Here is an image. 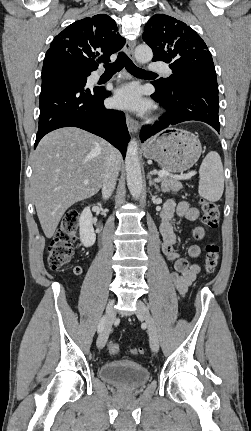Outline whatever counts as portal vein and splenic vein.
<instances>
[{"instance_id":"portal-vein-and-splenic-vein-1","label":"portal vein and splenic vein","mask_w":251,"mask_h":431,"mask_svg":"<svg viewBox=\"0 0 251 431\" xmlns=\"http://www.w3.org/2000/svg\"><path fill=\"white\" fill-rule=\"evenodd\" d=\"M172 177V178H176L178 180H182V179H189L191 176L190 175H171L168 172L162 171L158 173V179H156L157 181L160 180L161 177ZM84 184H88V181L85 180Z\"/></svg>"}]
</instances>
